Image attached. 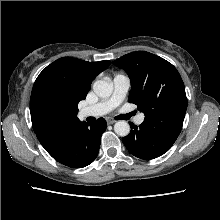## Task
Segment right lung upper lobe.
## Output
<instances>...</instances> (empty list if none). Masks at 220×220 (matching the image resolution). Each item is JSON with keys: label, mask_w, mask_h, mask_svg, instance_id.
Masks as SVG:
<instances>
[{"label": "right lung upper lobe", "mask_w": 220, "mask_h": 220, "mask_svg": "<svg viewBox=\"0 0 220 220\" xmlns=\"http://www.w3.org/2000/svg\"><path fill=\"white\" fill-rule=\"evenodd\" d=\"M109 60L87 62L84 60L63 57L59 58L37 77L32 94L45 84H55L63 90L68 104L78 109V103L86 98L95 77L110 65ZM75 112L66 122L58 126H47L32 120V126L38 140L47 149L55 144L75 123L80 122Z\"/></svg>", "instance_id": "obj_1"}]
</instances>
